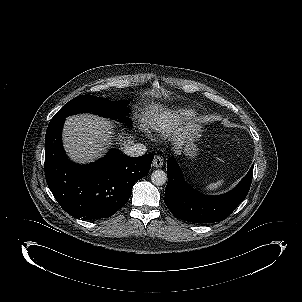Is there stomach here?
Wrapping results in <instances>:
<instances>
[{
    "mask_svg": "<svg viewBox=\"0 0 302 302\" xmlns=\"http://www.w3.org/2000/svg\"><path fill=\"white\" fill-rule=\"evenodd\" d=\"M185 155L193 158L197 155V146L195 142L201 137L202 127L200 124L192 122L185 127Z\"/></svg>",
    "mask_w": 302,
    "mask_h": 302,
    "instance_id": "obj_1",
    "label": "stomach"
}]
</instances>
